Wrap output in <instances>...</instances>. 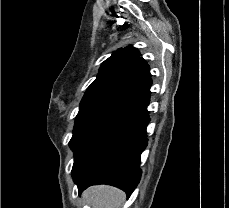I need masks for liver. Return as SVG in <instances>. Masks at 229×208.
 I'll return each instance as SVG.
<instances>
[{
	"label": "liver",
	"mask_w": 229,
	"mask_h": 208,
	"mask_svg": "<svg viewBox=\"0 0 229 208\" xmlns=\"http://www.w3.org/2000/svg\"><path fill=\"white\" fill-rule=\"evenodd\" d=\"M92 208H120L126 200L125 192L112 186H93L82 194Z\"/></svg>",
	"instance_id": "6515ba94"
}]
</instances>
